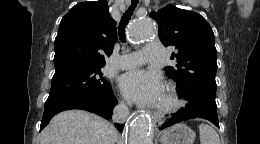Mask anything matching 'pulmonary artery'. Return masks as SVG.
I'll return each mask as SVG.
<instances>
[{
  "mask_svg": "<svg viewBox=\"0 0 260 144\" xmlns=\"http://www.w3.org/2000/svg\"><path fill=\"white\" fill-rule=\"evenodd\" d=\"M164 48L157 43H151L144 47L142 51L132 52L120 57V67L132 69L145 62H157L164 56Z\"/></svg>",
  "mask_w": 260,
  "mask_h": 144,
  "instance_id": "1",
  "label": "pulmonary artery"
}]
</instances>
